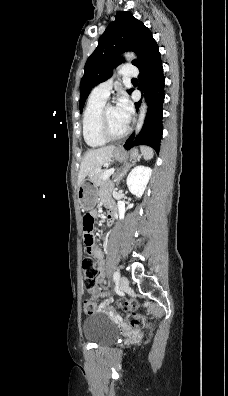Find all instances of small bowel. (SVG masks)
Here are the masks:
<instances>
[{
	"label": "small bowel",
	"instance_id": "c3829d8e",
	"mask_svg": "<svg viewBox=\"0 0 228 396\" xmlns=\"http://www.w3.org/2000/svg\"><path fill=\"white\" fill-rule=\"evenodd\" d=\"M102 202L107 206V207H110V200L106 197V195H102ZM112 214V210L110 209L109 210V216ZM91 251H92V254H93V256L97 259V260H99V261H101L102 260V258H103V253H102V251L97 247V246H95V245H93L92 247H91ZM103 274H100L99 275V277H98V279H97V284L98 285H100V284H102L103 283ZM88 291L90 292V294H92L94 297H100V296H102L103 295V293H102V291H101V289H100V287L99 286H94L93 288H91V289H88ZM109 301H105L104 303H102L101 305H100V309L101 310H105V309H107L108 308V306H109Z\"/></svg>",
	"mask_w": 228,
	"mask_h": 396
}]
</instances>
